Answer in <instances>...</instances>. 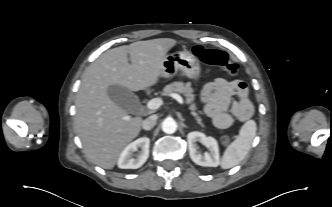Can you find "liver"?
Returning <instances> with one entry per match:
<instances>
[{"label": "liver", "mask_w": 332, "mask_h": 207, "mask_svg": "<svg viewBox=\"0 0 332 207\" xmlns=\"http://www.w3.org/2000/svg\"><path fill=\"white\" fill-rule=\"evenodd\" d=\"M176 44L170 38L137 41L106 51L85 70L76 96L75 130L91 162L112 169L142 125L141 117L128 116L111 100L108 88L119 85L139 91L155 85L164 57Z\"/></svg>", "instance_id": "obj_1"}]
</instances>
